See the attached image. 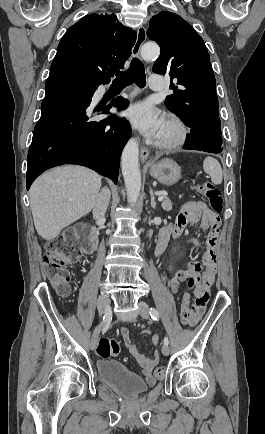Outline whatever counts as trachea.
Here are the masks:
<instances>
[{
	"mask_svg": "<svg viewBox=\"0 0 265 434\" xmlns=\"http://www.w3.org/2000/svg\"><path fill=\"white\" fill-rule=\"evenodd\" d=\"M136 83L140 88L146 85V75L143 63L138 59L134 58L130 63V68L124 72L117 71L116 79L114 83L130 85Z\"/></svg>",
	"mask_w": 265,
	"mask_h": 434,
	"instance_id": "3493384b",
	"label": "trachea"
}]
</instances>
